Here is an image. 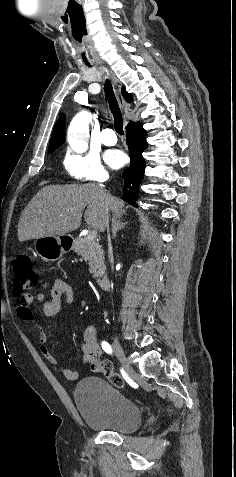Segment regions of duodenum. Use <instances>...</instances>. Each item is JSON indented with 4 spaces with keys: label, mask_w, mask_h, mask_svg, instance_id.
<instances>
[{
    "label": "duodenum",
    "mask_w": 236,
    "mask_h": 477,
    "mask_svg": "<svg viewBox=\"0 0 236 477\" xmlns=\"http://www.w3.org/2000/svg\"><path fill=\"white\" fill-rule=\"evenodd\" d=\"M73 244V241L71 239H67L65 242V245L69 248ZM97 284L98 287L101 290H108L110 288V280L107 276H101L97 279Z\"/></svg>",
    "instance_id": "duodenum-1"
}]
</instances>
